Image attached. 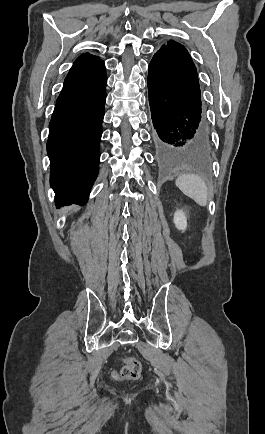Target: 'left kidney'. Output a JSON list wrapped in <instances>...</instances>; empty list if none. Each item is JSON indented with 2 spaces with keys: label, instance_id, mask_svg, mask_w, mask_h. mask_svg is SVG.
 <instances>
[{
  "label": "left kidney",
  "instance_id": "1",
  "mask_svg": "<svg viewBox=\"0 0 265 434\" xmlns=\"http://www.w3.org/2000/svg\"><path fill=\"white\" fill-rule=\"evenodd\" d=\"M173 222L177 230H186L187 222L185 214L182 212V210H177V212H175Z\"/></svg>",
  "mask_w": 265,
  "mask_h": 434
}]
</instances>
